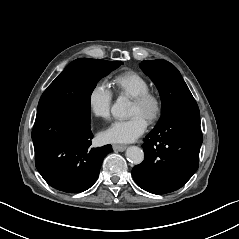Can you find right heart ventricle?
Listing matches in <instances>:
<instances>
[{"label":"right heart ventricle","mask_w":239,"mask_h":239,"mask_svg":"<svg viewBox=\"0 0 239 239\" xmlns=\"http://www.w3.org/2000/svg\"><path fill=\"white\" fill-rule=\"evenodd\" d=\"M112 81L118 91L130 97H134L150 88L149 80L141 73L134 70L115 75Z\"/></svg>","instance_id":"1"}]
</instances>
